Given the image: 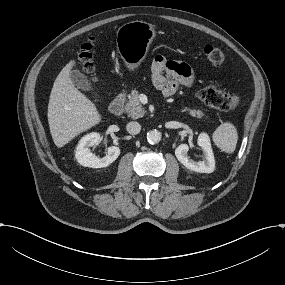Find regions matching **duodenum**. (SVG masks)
<instances>
[{
    "mask_svg": "<svg viewBox=\"0 0 285 285\" xmlns=\"http://www.w3.org/2000/svg\"><path fill=\"white\" fill-rule=\"evenodd\" d=\"M124 103H125V94L124 93L118 94L110 105V112L114 116L121 115L124 109Z\"/></svg>",
    "mask_w": 285,
    "mask_h": 285,
    "instance_id": "obj_1",
    "label": "duodenum"
}]
</instances>
